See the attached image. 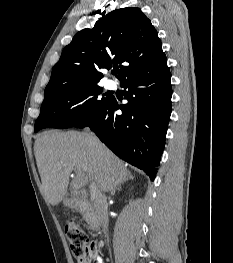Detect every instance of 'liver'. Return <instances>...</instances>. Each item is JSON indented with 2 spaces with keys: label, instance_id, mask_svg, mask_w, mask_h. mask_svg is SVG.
<instances>
[{
  "label": "liver",
  "instance_id": "liver-1",
  "mask_svg": "<svg viewBox=\"0 0 233 263\" xmlns=\"http://www.w3.org/2000/svg\"><path fill=\"white\" fill-rule=\"evenodd\" d=\"M34 153L43 197L53 206L65 197L73 170L86 173L92 185L105 192L131 175L122 160L87 132H44L35 141Z\"/></svg>",
  "mask_w": 233,
  "mask_h": 263
}]
</instances>
